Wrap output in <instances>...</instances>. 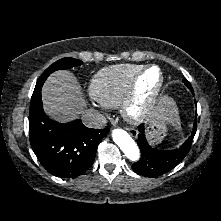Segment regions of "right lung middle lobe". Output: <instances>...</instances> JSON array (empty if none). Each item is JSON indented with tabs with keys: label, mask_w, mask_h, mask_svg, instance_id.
Segmentation results:
<instances>
[{
	"label": "right lung middle lobe",
	"mask_w": 221,
	"mask_h": 221,
	"mask_svg": "<svg viewBox=\"0 0 221 221\" xmlns=\"http://www.w3.org/2000/svg\"><path fill=\"white\" fill-rule=\"evenodd\" d=\"M83 62L74 58H63L60 59L58 61H56L55 63H53L52 65H50L44 72L43 74L40 76V78L38 79L35 88H39L43 85L44 81L46 80V78L54 71L56 70H60V69H68L74 66H79L81 65Z\"/></svg>",
	"instance_id": "1"
}]
</instances>
